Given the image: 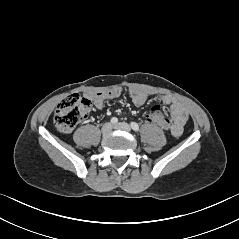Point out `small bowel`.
<instances>
[{
  "instance_id": "small-bowel-1",
  "label": "small bowel",
  "mask_w": 239,
  "mask_h": 239,
  "mask_svg": "<svg viewBox=\"0 0 239 239\" xmlns=\"http://www.w3.org/2000/svg\"><path fill=\"white\" fill-rule=\"evenodd\" d=\"M119 95L120 92L118 90H112L88 93L87 98L93 101L96 109L102 110L104 108L106 100L117 98ZM147 98V93L142 90L134 89L131 91V99L137 106L143 105L146 102ZM158 99L162 103L169 106L171 115V121H169L165 117V119L168 120V124L163 123L162 125L158 126L165 130H169L172 136L176 138L180 137L183 132L184 125L188 120V113L186 108L182 103L169 95H159Z\"/></svg>"
}]
</instances>
